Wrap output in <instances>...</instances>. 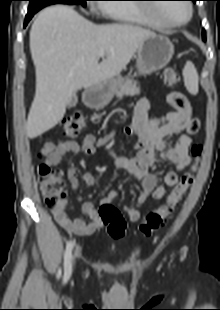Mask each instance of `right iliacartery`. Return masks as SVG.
Here are the masks:
<instances>
[{"label":"right iliac artery","mask_w":220,"mask_h":310,"mask_svg":"<svg viewBox=\"0 0 220 310\" xmlns=\"http://www.w3.org/2000/svg\"><path fill=\"white\" fill-rule=\"evenodd\" d=\"M73 246H74V244L72 241H69L66 245L65 255H64L65 276H69L71 273V257H72Z\"/></svg>","instance_id":"1"}]
</instances>
